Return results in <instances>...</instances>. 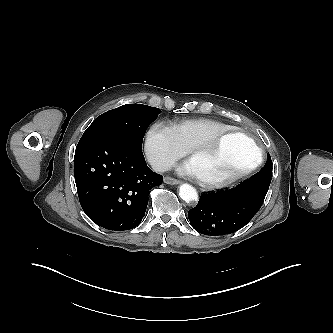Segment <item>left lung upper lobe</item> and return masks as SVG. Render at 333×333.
Masks as SVG:
<instances>
[{"label":"left lung upper lobe","instance_id":"left-lung-upper-lobe-1","mask_svg":"<svg viewBox=\"0 0 333 333\" xmlns=\"http://www.w3.org/2000/svg\"><path fill=\"white\" fill-rule=\"evenodd\" d=\"M272 165L273 164H272V161H271V157L268 154L267 155V162H266L265 166L258 173H256L253 176L260 175V174H271L272 175V170H273Z\"/></svg>","mask_w":333,"mask_h":333}]
</instances>
